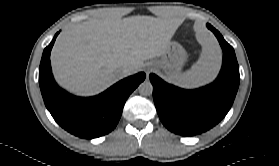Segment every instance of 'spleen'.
<instances>
[{"instance_id": "spleen-1", "label": "spleen", "mask_w": 279, "mask_h": 166, "mask_svg": "<svg viewBox=\"0 0 279 166\" xmlns=\"http://www.w3.org/2000/svg\"><path fill=\"white\" fill-rule=\"evenodd\" d=\"M202 51L198 61L190 70L179 73L173 79L174 83L183 88H197L211 82L221 67V52L216 41L208 34L198 35Z\"/></svg>"}]
</instances>
